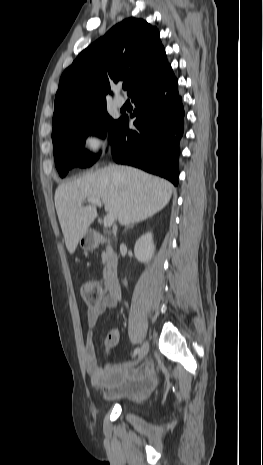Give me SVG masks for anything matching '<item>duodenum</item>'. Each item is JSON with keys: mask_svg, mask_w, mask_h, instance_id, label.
Listing matches in <instances>:
<instances>
[{"mask_svg": "<svg viewBox=\"0 0 263 465\" xmlns=\"http://www.w3.org/2000/svg\"><path fill=\"white\" fill-rule=\"evenodd\" d=\"M107 238L104 236H96L94 238L89 239L88 244L90 246H97L100 243L106 241ZM105 279L108 285L109 291L114 296L120 295V284L118 280L117 274V264L114 259H110L106 266L105 270Z\"/></svg>", "mask_w": 263, "mask_h": 465, "instance_id": "410a0bca", "label": "duodenum"}]
</instances>
